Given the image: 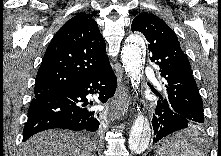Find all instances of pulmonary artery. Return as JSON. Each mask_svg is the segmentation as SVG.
Returning a JSON list of instances; mask_svg holds the SVG:
<instances>
[{"instance_id":"1","label":"pulmonary artery","mask_w":221,"mask_h":156,"mask_svg":"<svg viewBox=\"0 0 221 156\" xmlns=\"http://www.w3.org/2000/svg\"><path fill=\"white\" fill-rule=\"evenodd\" d=\"M150 70H151L150 68H147V69H146V72H150Z\"/></svg>"}]
</instances>
